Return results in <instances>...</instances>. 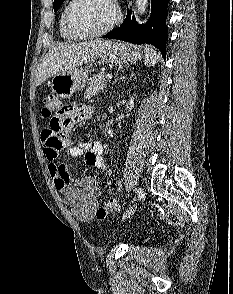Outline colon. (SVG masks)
Masks as SVG:
<instances>
[{"instance_id": "5ec220e1", "label": "colon", "mask_w": 233, "mask_h": 294, "mask_svg": "<svg viewBox=\"0 0 233 294\" xmlns=\"http://www.w3.org/2000/svg\"><path fill=\"white\" fill-rule=\"evenodd\" d=\"M61 108H63V106L60 104L58 99L54 95L48 94L43 98L41 115L44 119L48 120V117H53V110H61ZM117 209L118 204L116 199H110L97 209L96 217L98 219H104L109 214L116 212Z\"/></svg>"}]
</instances>
